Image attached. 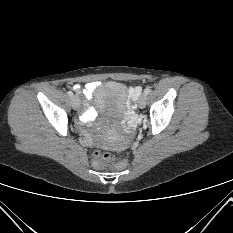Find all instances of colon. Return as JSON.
Instances as JSON below:
<instances>
[{"label":"colon","mask_w":233,"mask_h":233,"mask_svg":"<svg viewBox=\"0 0 233 233\" xmlns=\"http://www.w3.org/2000/svg\"><path fill=\"white\" fill-rule=\"evenodd\" d=\"M115 157L107 152L95 151L94 152V164L98 167L103 166L105 162L113 161Z\"/></svg>","instance_id":"5ec220e1"}]
</instances>
